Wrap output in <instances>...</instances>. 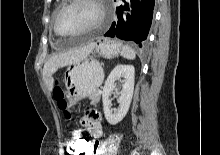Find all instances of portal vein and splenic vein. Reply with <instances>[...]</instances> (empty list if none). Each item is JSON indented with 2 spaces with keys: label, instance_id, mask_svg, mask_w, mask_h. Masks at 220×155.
Listing matches in <instances>:
<instances>
[{
  "label": "portal vein and splenic vein",
  "instance_id": "portal-vein-and-splenic-vein-1",
  "mask_svg": "<svg viewBox=\"0 0 220 155\" xmlns=\"http://www.w3.org/2000/svg\"><path fill=\"white\" fill-rule=\"evenodd\" d=\"M98 93L101 94V90H98Z\"/></svg>",
  "mask_w": 220,
  "mask_h": 155
}]
</instances>
